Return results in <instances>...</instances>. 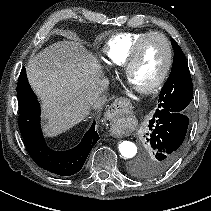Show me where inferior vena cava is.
I'll return each mask as SVG.
<instances>
[{
	"instance_id": "1",
	"label": "inferior vena cava",
	"mask_w": 211,
	"mask_h": 211,
	"mask_svg": "<svg viewBox=\"0 0 211 211\" xmlns=\"http://www.w3.org/2000/svg\"><path fill=\"white\" fill-rule=\"evenodd\" d=\"M105 82H102L98 85V91L96 92V95L98 97H101L103 95V92L105 91V88L107 87V80H104ZM95 103V102H94Z\"/></svg>"
}]
</instances>
